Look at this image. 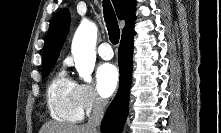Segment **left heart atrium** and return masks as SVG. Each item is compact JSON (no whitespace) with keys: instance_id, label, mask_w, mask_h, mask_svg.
<instances>
[{"instance_id":"obj_1","label":"left heart atrium","mask_w":221,"mask_h":133,"mask_svg":"<svg viewBox=\"0 0 221 133\" xmlns=\"http://www.w3.org/2000/svg\"><path fill=\"white\" fill-rule=\"evenodd\" d=\"M119 83L117 68L111 63L102 64L96 71V86L103 97L111 96Z\"/></svg>"}]
</instances>
